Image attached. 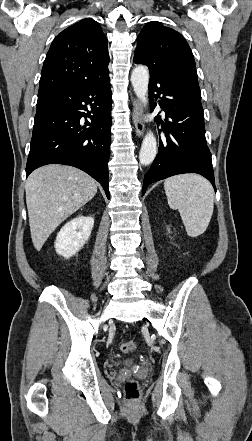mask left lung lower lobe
Segmentation results:
<instances>
[{"label":"left lung lower lobe","instance_id":"1","mask_svg":"<svg viewBox=\"0 0 252 441\" xmlns=\"http://www.w3.org/2000/svg\"><path fill=\"white\" fill-rule=\"evenodd\" d=\"M161 96L165 123L158 154L144 177L142 194L149 184L182 173H198L215 188L211 153L206 143L200 88L186 75L169 71L150 76L149 96ZM156 121L159 125L158 116ZM160 135V134H159Z\"/></svg>","mask_w":252,"mask_h":441}]
</instances>
